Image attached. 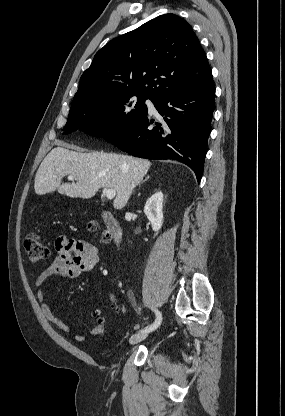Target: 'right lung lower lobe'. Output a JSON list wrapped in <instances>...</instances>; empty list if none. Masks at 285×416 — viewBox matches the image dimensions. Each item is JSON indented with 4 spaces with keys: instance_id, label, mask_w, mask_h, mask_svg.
I'll return each instance as SVG.
<instances>
[{
    "instance_id": "right-lung-lower-lobe-1",
    "label": "right lung lower lobe",
    "mask_w": 285,
    "mask_h": 416,
    "mask_svg": "<svg viewBox=\"0 0 285 416\" xmlns=\"http://www.w3.org/2000/svg\"><path fill=\"white\" fill-rule=\"evenodd\" d=\"M212 76L154 102L162 123L147 115L127 130L106 138L129 154L147 159H175L188 165L198 182L202 177L211 120L215 109Z\"/></svg>"
}]
</instances>
